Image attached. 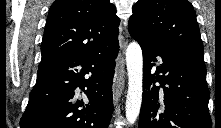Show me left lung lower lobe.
I'll return each instance as SVG.
<instances>
[{
	"instance_id": "obj_1",
	"label": "left lung lower lobe",
	"mask_w": 221,
	"mask_h": 128,
	"mask_svg": "<svg viewBox=\"0 0 221 128\" xmlns=\"http://www.w3.org/2000/svg\"><path fill=\"white\" fill-rule=\"evenodd\" d=\"M139 44L144 90L139 128H211L204 61L169 44Z\"/></svg>"
}]
</instances>
